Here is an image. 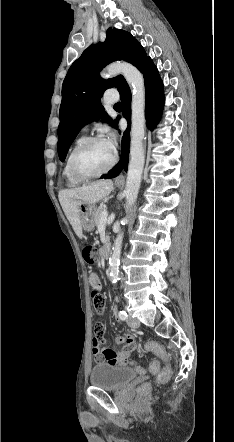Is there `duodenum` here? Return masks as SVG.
I'll use <instances>...</instances> for the list:
<instances>
[{
	"mask_svg": "<svg viewBox=\"0 0 234 442\" xmlns=\"http://www.w3.org/2000/svg\"><path fill=\"white\" fill-rule=\"evenodd\" d=\"M111 246L105 245L101 250V258L105 261L108 259L110 254Z\"/></svg>",
	"mask_w": 234,
	"mask_h": 442,
	"instance_id": "410a0bca",
	"label": "duodenum"
}]
</instances>
